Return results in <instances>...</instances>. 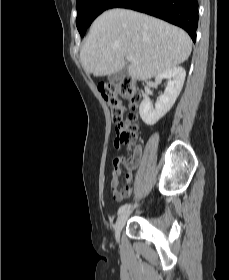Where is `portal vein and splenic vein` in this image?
<instances>
[{
    "mask_svg": "<svg viewBox=\"0 0 229 280\" xmlns=\"http://www.w3.org/2000/svg\"><path fill=\"white\" fill-rule=\"evenodd\" d=\"M126 59H127V61H129V62H135V59H134L133 56H127Z\"/></svg>",
    "mask_w": 229,
    "mask_h": 280,
    "instance_id": "18ae733b",
    "label": "portal vein and splenic vein"
}]
</instances>
